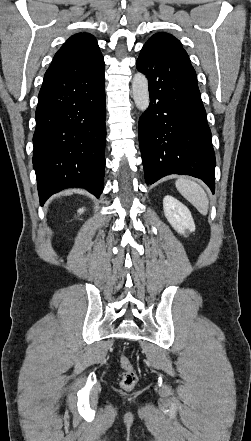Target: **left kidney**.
Returning <instances> with one entry per match:
<instances>
[{
    "instance_id": "obj_1",
    "label": "left kidney",
    "mask_w": 251,
    "mask_h": 441,
    "mask_svg": "<svg viewBox=\"0 0 251 441\" xmlns=\"http://www.w3.org/2000/svg\"><path fill=\"white\" fill-rule=\"evenodd\" d=\"M165 217L170 225L181 235L187 236L195 231V224L189 209L170 195L163 199Z\"/></svg>"
}]
</instances>
